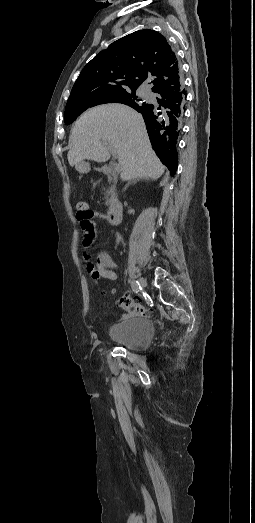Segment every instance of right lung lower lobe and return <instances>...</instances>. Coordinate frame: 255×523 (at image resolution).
I'll return each instance as SVG.
<instances>
[{"instance_id":"obj_1","label":"right lung lower lobe","mask_w":255,"mask_h":523,"mask_svg":"<svg viewBox=\"0 0 255 523\" xmlns=\"http://www.w3.org/2000/svg\"><path fill=\"white\" fill-rule=\"evenodd\" d=\"M176 170H177V166H176V168H175V173H176Z\"/></svg>"}]
</instances>
